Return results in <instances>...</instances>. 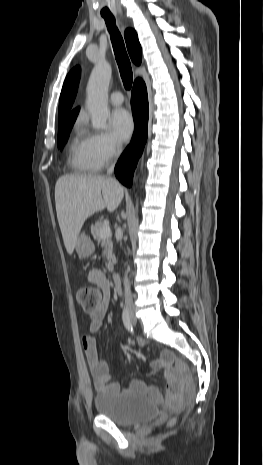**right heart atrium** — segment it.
<instances>
[{
	"label": "right heart atrium",
	"mask_w": 263,
	"mask_h": 465,
	"mask_svg": "<svg viewBox=\"0 0 263 465\" xmlns=\"http://www.w3.org/2000/svg\"><path fill=\"white\" fill-rule=\"evenodd\" d=\"M90 155L98 168L110 162L120 151L119 142L107 132L88 135Z\"/></svg>",
	"instance_id": "1"
}]
</instances>
